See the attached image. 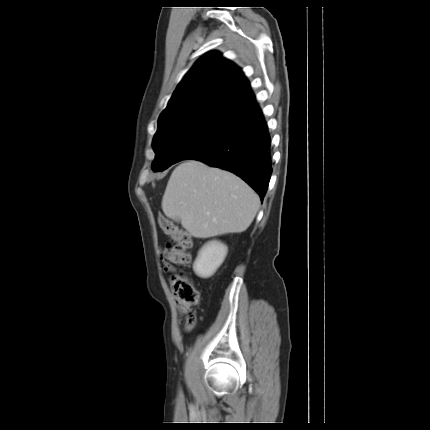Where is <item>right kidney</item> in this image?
Returning a JSON list of instances; mask_svg holds the SVG:
<instances>
[{
    "mask_svg": "<svg viewBox=\"0 0 430 430\" xmlns=\"http://www.w3.org/2000/svg\"><path fill=\"white\" fill-rule=\"evenodd\" d=\"M227 251V246L219 241L205 244L194 262L195 274L201 278L211 277L223 263Z\"/></svg>",
    "mask_w": 430,
    "mask_h": 430,
    "instance_id": "right-kidney-1",
    "label": "right kidney"
}]
</instances>
